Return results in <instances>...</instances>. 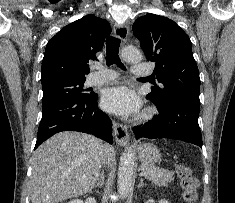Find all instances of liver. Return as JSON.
I'll return each mask as SVG.
<instances>
[{
  "mask_svg": "<svg viewBox=\"0 0 235 203\" xmlns=\"http://www.w3.org/2000/svg\"><path fill=\"white\" fill-rule=\"evenodd\" d=\"M104 158L113 164L114 148L95 136L72 131L55 134L33 154L32 203H59L89 193Z\"/></svg>",
  "mask_w": 235,
  "mask_h": 203,
  "instance_id": "6515ba94",
  "label": "liver"
}]
</instances>
